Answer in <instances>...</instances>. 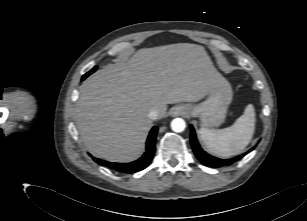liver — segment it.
Wrapping results in <instances>:
<instances>
[{
    "instance_id": "1",
    "label": "liver",
    "mask_w": 307,
    "mask_h": 221,
    "mask_svg": "<svg viewBox=\"0 0 307 221\" xmlns=\"http://www.w3.org/2000/svg\"><path fill=\"white\" fill-rule=\"evenodd\" d=\"M204 47L178 43L138 50L129 60L99 70L81 87L76 104L80 137L94 156L129 162L142 152L151 110L196 102L223 80Z\"/></svg>"
}]
</instances>
